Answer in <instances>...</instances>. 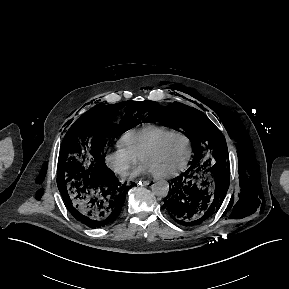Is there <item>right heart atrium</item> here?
I'll use <instances>...</instances> for the list:
<instances>
[{
	"label": "right heart atrium",
	"instance_id": "obj_1",
	"mask_svg": "<svg viewBox=\"0 0 289 289\" xmlns=\"http://www.w3.org/2000/svg\"><path fill=\"white\" fill-rule=\"evenodd\" d=\"M137 162L138 157L121 143L105 154L106 165L119 176L127 175Z\"/></svg>",
	"mask_w": 289,
	"mask_h": 289
}]
</instances>
